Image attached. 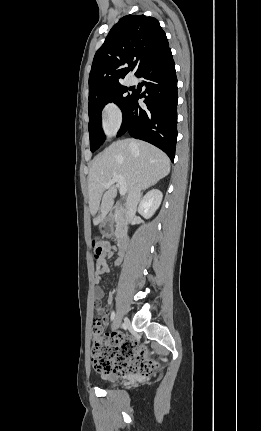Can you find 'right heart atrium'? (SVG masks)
I'll return each instance as SVG.
<instances>
[{
    "label": "right heart atrium",
    "instance_id": "d8ad5b80",
    "mask_svg": "<svg viewBox=\"0 0 261 431\" xmlns=\"http://www.w3.org/2000/svg\"><path fill=\"white\" fill-rule=\"evenodd\" d=\"M122 122V112L114 102L107 103L102 109V125L108 135L114 134Z\"/></svg>",
    "mask_w": 261,
    "mask_h": 431
}]
</instances>
